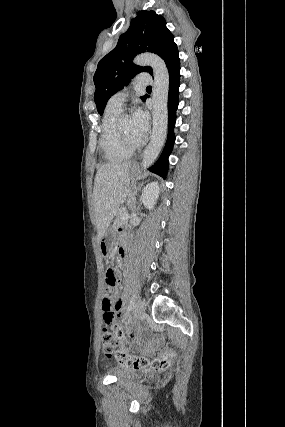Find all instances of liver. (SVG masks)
<instances>
[{"mask_svg": "<svg viewBox=\"0 0 285 427\" xmlns=\"http://www.w3.org/2000/svg\"><path fill=\"white\" fill-rule=\"evenodd\" d=\"M130 166V162L108 163L99 168L96 173L93 206L99 238L107 232L128 191Z\"/></svg>", "mask_w": 285, "mask_h": 427, "instance_id": "6515ba94", "label": "liver"}]
</instances>
